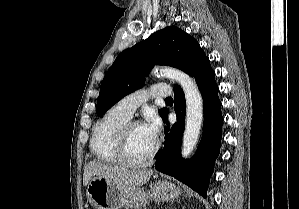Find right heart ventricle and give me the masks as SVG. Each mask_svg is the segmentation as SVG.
I'll list each match as a JSON object with an SVG mask.
<instances>
[{
    "label": "right heart ventricle",
    "mask_w": 299,
    "mask_h": 209,
    "mask_svg": "<svg viewBox=\"0 0 299 209\" xmlns=\"http://www.w3.org/2000/svg\"><path fill=\"white\" fill-rule=\"evenodd\" d=\"M129 120L116 106L108 110L95 124L91 139V150L104 163L119 164L116 155V139L120 128Z\"/></svg>",
    "instance_id": "e07e8e85"
}]
</instances>
